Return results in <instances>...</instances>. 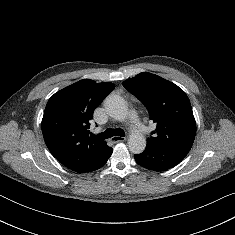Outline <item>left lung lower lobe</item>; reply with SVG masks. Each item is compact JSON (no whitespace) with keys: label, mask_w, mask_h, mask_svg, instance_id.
<instances>
[{"label":"left lung lower lobe","mask_w":235,"mask_h":235,"mask_svg":"<svg viewBox=\"0 0 235 235\" xmlns=\"http://www.w3.org/2000/svg\"><path fill=\"white\" fill-rule=\"evenodd\" d=\"M187 153L147 144L143 153L135 155L136 162L149 170L165 171L181 162Z\"/></svg>","instance_id":"obj_1"}]
</instances>
